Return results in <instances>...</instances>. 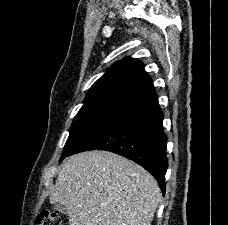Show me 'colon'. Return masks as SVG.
<instances>
[{
	"instance_id": "colon-1",
	"label": "colon",
	"mask_w": 228,
	"mask_h": 225,
	"mask_svg": "<svg viewBox=\"0 0 228 225\" xmlns=\"http://www.w3.org/2000/svg\"><path fill=\"white\" fill-rule=\"evenodd\" d=\"M37 225H63L59 214L55 210L43 208L37 216Z\"/></svg>"
}]
</instances>
